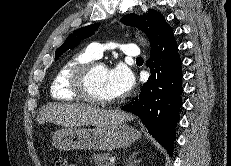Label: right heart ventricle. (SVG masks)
I'll list each match as a JSON object with an SVG mask.
<instances>
[{"label": "right heart ventricle", "mask_w": 231, "mask_h": 166, "mask_svg": "<svg viewBox=\"0 0 231 166\" xmlns=\"http://www.w3.org/2000/svg\"><path fill=\"white\" fill-rule=\"evenodd\" d=\"M89 48L79 51L69 57L59 68L53 78L50 93L58 101L78 100L80 97L71 88V79L81 65L96 60Z\"/></svg>", "instance_id": "obj_1"}]
</instances>
